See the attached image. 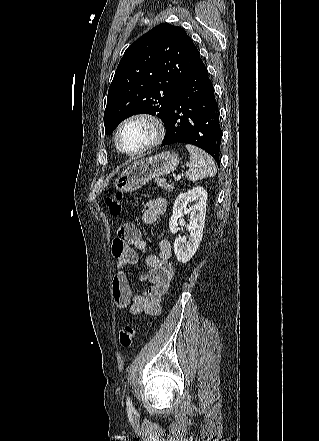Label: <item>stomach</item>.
Instances as JSON below:
<instances>
[{
    "instance_id": "0dacf381",
    "label": "stomach",
    "mask_w": 319,
    "mask_h": 441,
    "mask_svg": "<svg viewBox=\"0 0 319 441\" xmlns=\"http://www.w3.org/2000/svg\"><path fill=\"white\" fill-rule=\"evenodd\" d=\"M178 164L179 157L174 152H163L153 157L136 160L118 175L113 186L120 192H133L152 178L170 174Z\"/></svg>"
}]
</instances>
